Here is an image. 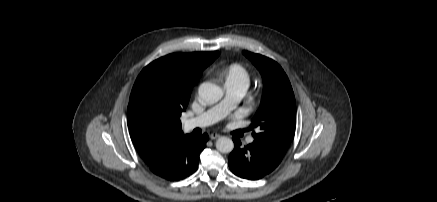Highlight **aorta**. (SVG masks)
I'll use <instances>...</instances> for the list:
<instances>
[{
	"label": "aorta",
	"instance_id": "762f6f07",
	"mask_svg": "<svg viewBox=\"0 0 437 202\" xmlns=\"http://www.w3.org/2000/svg\"><path fill=\"white\" fill-rule=\"evenodd\" d=\"M198 94L202 101L213 104L223 97V90L214 83L203 82L198 88ZM216 148L221 153H230L234 149V143L229 137L223 136L217 139Z\"/></svg>",
	"mask_w": 437,
	"mask_h": 202
}]
</instances>
